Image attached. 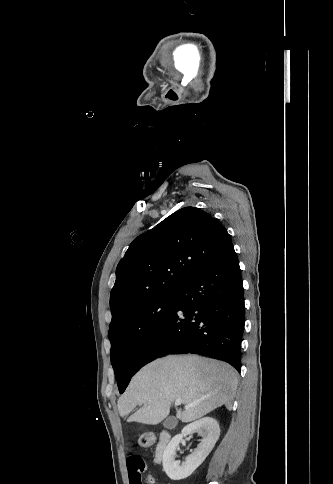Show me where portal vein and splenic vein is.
Listing matches in <instances>:
<instances>
[{
  "mask_svg": "<svg viewBox=\"0 0 333 484\" xmlns=\"http://www.w3.org/2000/svg\"><path fill=\"white\" fill-rule=\"evenodd\" d=\"M181 403H182V400H181V399H176V400H175V405H176V406H177V405H180ZM189 407H191V405H185V408H189Z\"/></svg>",
  "mask_w": 333,
  "mask_h": 484,
  "instance_id": "portal-vein-and-splenic-vein-1",
  "label": "portal vein and splenic vein"
}]
</instances>
